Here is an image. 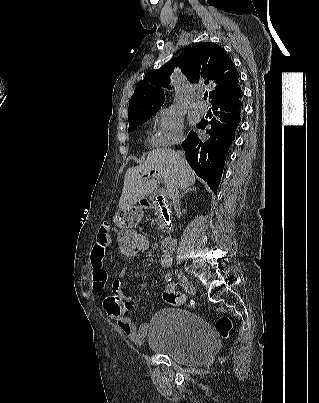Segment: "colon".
I'll return each mask as SVG.
<instances>
[{"mask_svg":"<svg viewBox=\"0 0 319 403\" xmlns=\"http://www.w3.org/2000/svg\"><path fill=\"white\" fill-rule=\"evenodd\" d=\"M140 226H129L123 229L122 234L115 236V251L121 254L122 260H136L137 254H148V241L146 234H141ZM164 300L174 306L199 308L196 301L187 302L185 296L172 290H166L163 293ZM215 328L224 338H227L232 328L231 319L227 316H221L216 320Z\"/></svg>","mask_w":319,"mask_h":403,"instance_id":"5ec220e1","label":"colon"}]
</instances>
